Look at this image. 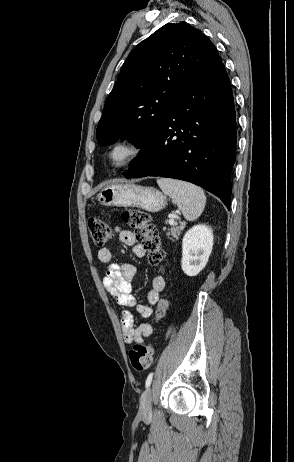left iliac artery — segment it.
<instances>
[{
  "label": "left iliac artery",
  "instance_id": "44dca946",
  "mask_svg": "<svg viewBox=\"0 0 294 462\" xmlns=\"http://www.w3.org/2000/svg\"><path fill=\"white\" fill-rule=\"evenodd\" d=\"M152 377H153V373L151 372V373L148 375V377H147V379H146V382H145V387H146V388H148V387L150 386V384H151V382H152Z\"/></svg>",
  "mask_w": 294,
  "mask_h": 462
}]
</instances>
